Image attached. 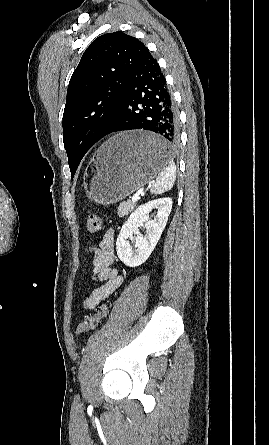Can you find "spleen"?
Returning a JSON list of instances; mask_svg holds the SVG:
<instances>
[{"label": "spleen", "mask_w": 269, "mask_h": 445, "mask_svg": "<svg viewBox=\"0 0 269 445\" xmlns=\"http://www.w3.org/2000/svg\"><path fill=\"white\" fill-rule=\"evenodd\" d=\"M176 179V166L173 160H169L168 166H166L163 171L158 175L153 185L151 186L150 192L152 194H162L170 190Z\"/></svg>", "instance_id": "3e777b00"}]
</instances>
